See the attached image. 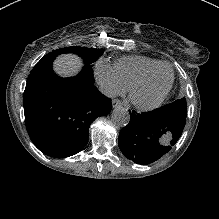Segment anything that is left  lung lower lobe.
<instances>
[{
  "label": "left lung lower lobe",
  "mask_w": 219,
  "mask_h": 219,
  "mask_svg": "<svg viewBox=\"0 0 219 219\" xmlns=\"http://www.w3.org/2000/svg\"><path fill=\"white\" fill-rule=\"evenodd\" d=\"M185 119L161 109L142 114L132 111L129 124L120 131L119 148L136 163L154 162L177 142L185 126Z\"/></svg>",
  "instance_id": "obj_1"
}]
</instances>
